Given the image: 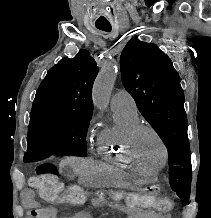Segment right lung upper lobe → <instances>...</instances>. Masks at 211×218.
Wrapping results in <instances>:
<instances>
[{"mask_svg": "<svg viewBox=\"0 0 211 218\" xmlns=\"http://www.w3.org/2000/svg\"><path fill=\"white\" fill-rule=\"evenodd\" d=\"M98 66L87 50L74 58H63L47 73L41 82L33 107L93 110L92 86Z\"/></svg>", "mask_w": 211, "mask_h": 218, "instance_id": "right-lung-upper-lobe-1", "label": "right lung upper lobe"}]
</instances>
